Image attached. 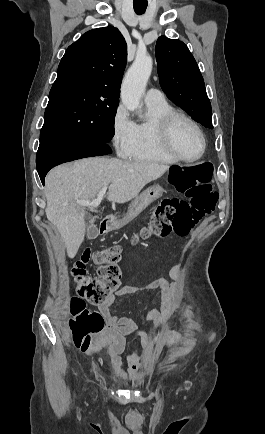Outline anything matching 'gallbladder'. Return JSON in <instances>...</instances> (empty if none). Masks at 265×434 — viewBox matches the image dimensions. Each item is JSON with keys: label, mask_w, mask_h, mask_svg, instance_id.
I'll use <instances>...</instances> for the list:
<instances>
[{"label": "gallbladder", "mask_w": 265, "mask_h": 434, "mask_svg": "<svg viewBox=\"0 0 265 434\" xmlns=\"http://www.w3.org/2000/svg\"><path fill=\"white\" fill-rule=\"evenodd\" d=\"M87 218H92L91 214H88ZM87 228H88V234H87L88 240H94V238H97L98 236L97 225L91 224L90 226H87Z\"/></svg>", "instance_id": "obj_1"}]
</instances>
